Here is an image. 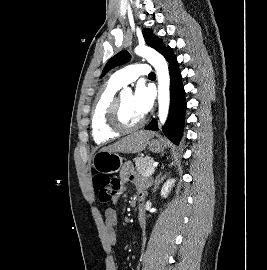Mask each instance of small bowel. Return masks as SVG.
<instances>
[{
    "instance_id": "small-bowel-1",
    "label": "small bowel",
    "mask_w": 267,
    "mask_h": 270,
    "mask_svg": "<svg viewBox=\"0 0 267 270\" xmlns=\"http://www.w3.org/2000/svg\"><path fill=\"white\" fill-rule=\"evenodd\" d=\"M120 178L122 182L132 181L133 183H135L137 187L139 188L138 198L145 199V196H146L145 189H146L147 183L146 181L136 176V174L134 173L133 167L130 164H126L122 167L120 171ZM104 220H105L108 243L112 248H114L118 241L117 231H116V226L118 222V214H117L116 209L114 208L106 209Z\"/></svg>"
}]
</instances>
